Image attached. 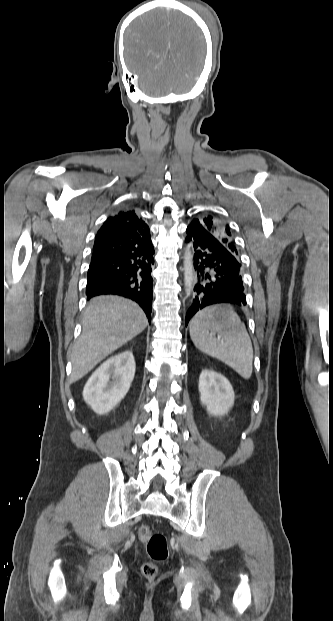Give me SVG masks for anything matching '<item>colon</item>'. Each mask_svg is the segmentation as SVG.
<instances>
[{
    "label": "colon",
    "mask_w": 333,
    "mask_h": 621,
    "mask_svg": "<svg viewBox=\"0 0 333 621\" xmlns=\"http://www.w3.org/2000/svg\"><path fill=\"white\" fill-rule=\"evenodd\" d=\"M139 539L146 545L147 553L151 561L145 562L141 567L143 576L154 579L158 574V564L168 558L167 539L163 534L154 533L148 525H142L138 530Z\"/></svg>",
    "instance_id": "1"
}]
</instances>
